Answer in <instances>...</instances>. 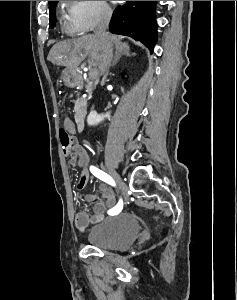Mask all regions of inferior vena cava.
<instances>
[{
	"mask_svg": "<svg viewBox=\"0 0 237 300\" xmlns=\"http://www.w3.org/2000/svg\"><path fill=\"white\" fill-rule=\"evenodd\" d=\"M111 17H112L111 9H109L108 5H102L100 19L94 31L95 37L101 39L102 45H105V41H103V39L107 35L106 31L108 29V25L110 23Z\"/></svg>",
	"mask_w": 237,
	"mask_h": 300,
	"instance_id": "1",
	"label": "inferior vena cava"
}]
</instances>
